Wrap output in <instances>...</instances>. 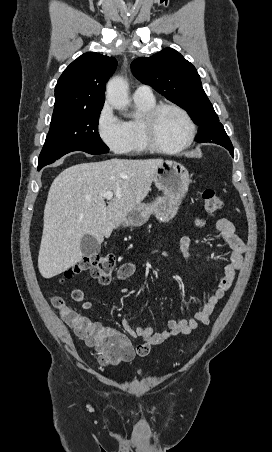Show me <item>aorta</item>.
<instances>
[{
    "instance_id": "obj_1",
    "label": "aorta",
    "mask_w": 272,
    "mask_h": 452,
    "mask_svg": "<svg viewBox=\"0 0 272 452\" xmlns=\"http://www.w3.org/2000/svg\"><path fill=\"white\" fill-rule=\"evenodd\" d=\"M106 101L119 111H126L130 103L127 82L120 76L113 77L107 83Z\"/></svg>"
}]
</instances>
